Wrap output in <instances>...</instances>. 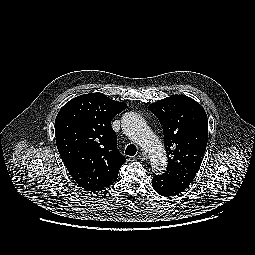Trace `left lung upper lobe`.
<instances>
[{
    "mask_svg": "<svg viewBox=\"0 0 255 255\" xmlns=\"http://www.w3.org/2000/svg\"><path fill=\"white\" fill-rule=\"evenodd\" d=\"M148 108L158 117L164 131L168 165L161 176L188 187L200 169L207 145L208 119L204 108L184 95L164 98Z\"/></svg>",
    "mask_w": 255,
    "mask_h": 255,
    "instance_id": "1",
    "label": "left lung upper lobe"
}]
</instances>
